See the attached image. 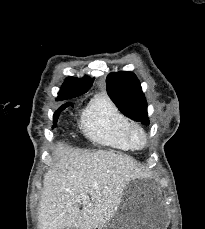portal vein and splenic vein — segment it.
Wrapping results in <instances>:
<instances>
[{
    "label": "portal vein and splenic vein",
    "mask_w": 205,
    "mask_h": 229,
    "mask_svg": "<svg viewBox=\"0 0 205 229\" xmlns=\"http://www.w3.org/2000/svg\"><path fill=\"white\" fill-rule=\"evenodd\" d=\"M80 197L86 198V194H82Z\"/></svg>",
    "instance_id": "obj_1"
}]
</instances>
